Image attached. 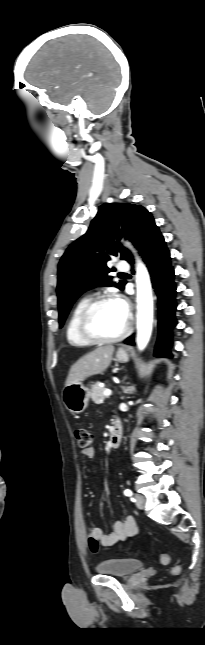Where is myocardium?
<instances>
[{"label": "myocardium", "instance_id": "f54148a6", "mask_svg": "<svg viewBox=\"0 0 205 645\" xmlns=\"http://www.w3.org/2000/svg\"><path fill=\"white\" fill-rule=\"evenodd\" d=\"M114 300L110 295H101L96 298H93L88 301L85 307L82 309L79 316V331L81 335L91 343L94 344H105L113 343L122 340L125 338L131 330L130 319L127 318L126 325L124 329L117 335L111 337H104L96 334L91 326L92 316L97 307L106 303L108 301Z\"/></svg>", "mask_w": 205, "mask_h": 645}]
</instances>
